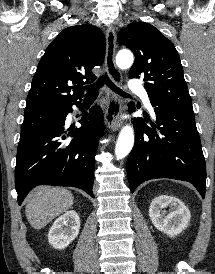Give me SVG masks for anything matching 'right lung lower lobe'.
Wrapping results in <instances>:
<instances>
[{"mask_svg": "<svg viewBox=\"0 0 215 274\" xmlns=\"http://www.w3.org/2000/svg\"><path fill=\"white\" fill-rule=\"evenodd\" d=\"M72 105L50 123L20 137L15 168L19 205L37 185L73 186L94 198L95 154L104 134L103 114L95 106L84 113L80 128L67 129L65 119Z\"/></svg>", "mask_w": 215, "mask_h": 274, "instance_id": "98d812e1", "label": "right lung lower lobe"}]
</instances>
